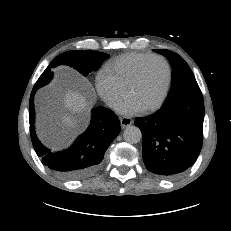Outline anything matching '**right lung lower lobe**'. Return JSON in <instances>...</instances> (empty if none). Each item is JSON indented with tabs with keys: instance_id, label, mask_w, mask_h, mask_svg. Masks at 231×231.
Returning <instances> with one entry per match:
<instances>
[{
	"instance_id": "98d812e1",
	"label": "right lung lower lobe",
	"mask_w": 231,
	"mask_h": 231,
	"mask_svg": "<svg viewBox=\"0 0 231 231\" xmlns=\"http://www.w3.org/2000/svg\"><path fill=\"white\" fill-rule=\"evenodd\" d=\"M30 96L29 121L34 149L42 163L58 175L67 179H81L93 174L100 166L111 142L120 132V121L110 109L94 108L91 124L69 149L52 152L37 138L34 129V95Z\"/></svg>"
}]
</instances>
